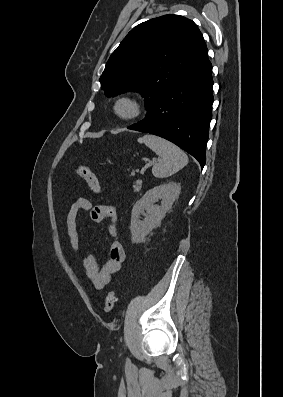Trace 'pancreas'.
I'll use <instances>...</instances> for the list:
<instances>
[{
  "mask_svg": "<svg viewBox=\"0 0 283 397\" xmlns=\"http://www.w3.org/2000/svg\"><path fill=\"white\" fill-rule=\"evenodd\" d=\"M141 185H142V182L140 180H137L136 182H134L133 191L135 193L139 192L141 190Z\"/></svg>",
  "mask_w": 283,
  "mask_h": 397,
  "instance_id": "cf45deb5",
  "label": "pancreas"
}]
</instances>
